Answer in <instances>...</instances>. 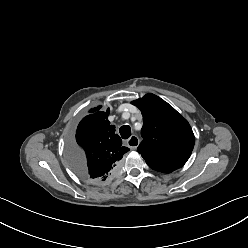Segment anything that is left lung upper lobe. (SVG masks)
Wrapping results in <instances>:
<instances>
[{"label":"left lung upper lobe","mask_w":248,"mask_h":248,"mask_svg":"<svg viewBox=\"0 0 248 248\" xmlns=\"http://www.w3.org/2000/svg\"><path fill=\"white\" fill-rule=\"evenodd\" d=\"M132 104L143 116V141L137 151L147 165L163 173L181 168L194 147V134L187 120L154 94H146Z\"/></svg>","instance_id":"obj_1"}]
</instances>
